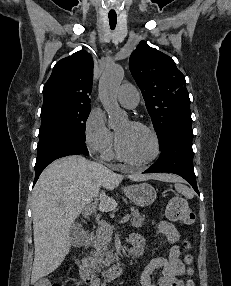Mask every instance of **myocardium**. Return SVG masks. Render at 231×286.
<instances>
[{
  "label": "myocardium",
  "instance_id": "obj_1",
  "mask_svg": "<svg viewBox=\"0 0 231 286\" xmlns=\"http://www.w3.org/2000/svg\"><path fill=\"white\" fill-rule=\"evenodd\" d=\"M130 124L135 126V127H138V128H141L143 130H145L147 133L150 134V136L152 137L153 139V143H154V151H153V154L150 158H148L147 160L143 161V162H135L131 159H129L122 151L121 147H120V143H119V140H118V137L116 136L115 137V153H116V156L123 162H125L126 164L132 166V167H135V168H145L147 167L148 165H150L151 163H153L159 156L160 154V150H161V145H160V140H159V137H158V134L156 133V131L151 128L150 126L142 123V122H139V121H130Z\"/></svg>",
  "mask_w": 231,
  "mask_h": 286
}]
</instances>
